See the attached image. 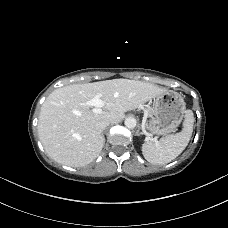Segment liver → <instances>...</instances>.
Listing matches in <instances>:
<instances>
[{"mask_svg":"<svg viewBox=\"0 0 228 228\" xmlns=\"http://www.w3.org/2000/svg\"><path fill=\"white\" fill-rule=\"evenodd\" d=\"M166 92L152 83L112 79L73 84L55 89L43 103L38 134L46 153L58 163L83 167L95 160L104 146V136L95 128L100 121L120 122L127 111ZM98 96L104 111L97 114L86 102Z\"/></svg>","mask_w":228,"mask_h":228,"instance_id":"obj_1","label":"liver"}]
</instances>
